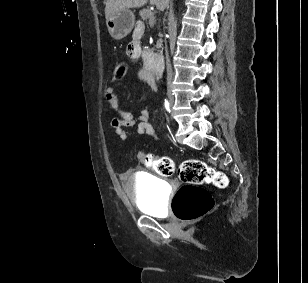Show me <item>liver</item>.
<instances>
[{
	"mask_svg": "<svg viewBox=\"0 0 308 283\" xmlns=\"http://www.w3.org/2000/svg\"><path fill=\"white\" fill-rule=\"evenodd\" d=\"M148 0H107L105 7L106 19L114 12L120 9L139 8L147 4ZM151 4H155L159 9H164L167 0H150Z\"/></svg>",
	"mask_w": 308,
	"mask_h": 283,
	"instance_id": "1",
	"label": "liver"
}]
</instances>
